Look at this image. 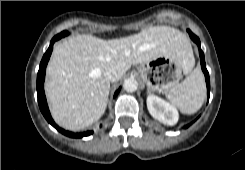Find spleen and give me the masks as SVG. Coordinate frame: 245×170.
I'll return each mask as SVG.
<instances>
[{"label":"spleen","instance_id":"3e777b00","mask_svg":"<svg viewBox=\"0 0 245 170\" xmlns=\"http://www.w3.org/2000/svg\"><path fill=\"white\" fill-rule=\"evenodd\" d=\"M189 56L193 58L192 50ZM205 96V80L199 68H195L184 81L166 92V97L170 103L185 114L197 112L202 107Z\"/></svg>","mask_w":245,"mask_h":170}]
</instances>
